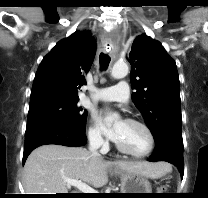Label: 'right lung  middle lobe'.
I'll return each instance as SVG.
<instances>
[{"label": "right lung middle lobe", "mask_w": 208, "mask_h": 198, "mask_svg": "<svg viewBox=\"0 0 208 198\" xmlns=\"http://www.w3.org/2000/svg\"><path fill=\"white\" fill-rule=\"evenodd\" d=\"M78 100L48 101L29 107L27 127L46 122H63L85 132L87 112L77 105Z\"/></svg>", "instance_id": "obj_1"}]
</instances>
